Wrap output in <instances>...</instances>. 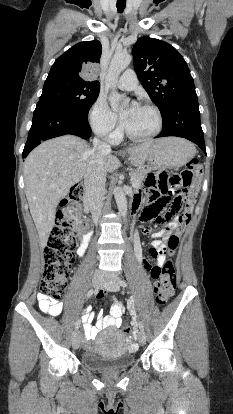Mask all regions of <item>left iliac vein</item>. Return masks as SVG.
<instances>
[{
    "mask_svg": "<svg viewBox=\"0 0 233 414\" xmlns=\"http://www.w3.org/2000/svg\"><path fill=\"white\" fill-rule=\"evenodd\" d=\"M102 285L108 291L116 292L119 290L120 285L118 283V279H107L102 281ZM138 343L143 346L146 343V335L143 330H140L137 335Z\"/></svg>",
    "mask_w": 233,
    "mask_h": 414,
    "instance_id": "obj_1",
    "label": "left iliac vein"
}]
</instances>
